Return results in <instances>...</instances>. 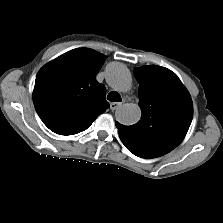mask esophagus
<instances>
[{
	"mask_svg": "<svg viewBox=\"0 0 223 223\" xmlns=\"http://www.w3.org/2000/svg\"><path fill=\"white\" fill-rule=\"evenodd\" d=\"M120 106H121V103H118V102H112V103H110V109H111L112 111H115V110L118 109Z\"/></svg>",
	"mask_w": 223,
	"mask_h": 223,
	"instance_id": "1",
	"label": "esophagus"
}]
</instances>
